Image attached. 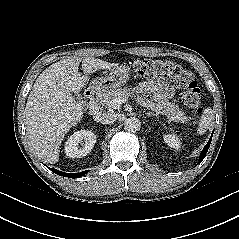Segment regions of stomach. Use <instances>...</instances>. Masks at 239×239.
Listing matches in <instances>:
<instances>
[{"label": "stomach", "instance_id": "0dacf381", "mask_svg": "<svg viewBox=\"0 0 239 239\" xmlns=\"http://www.w3.org/2000/svg\"><path fill=\"white\" fill-rule=\"evenodd\" d=\"M130 78V70L126 66H117L111 69L105 77H97L90 83L96 91L108 92L123 86Z\"/></svg>", "mask_w": 239, "mask_h": 239}]
</instances>
